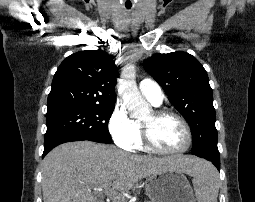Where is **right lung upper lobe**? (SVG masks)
Returning a JSON list of instances; mask_svg holds the SVG:
<instances>
[{"label":"right lung upper lobe","mask_w":255,"mask_h":202,"mask_svg":"<svg viewBox=\"0 0 255 202\" xmlns=\"http://www.w3.org/2000/svg\"><path fill=\"white\" fill-rule=\"evenodd\" d=\"M117 67L102 50L68 56L57 69L47 101V114L84 105H114Z\"/></svg>","instance_id":"obj_1"}]
</instances>
